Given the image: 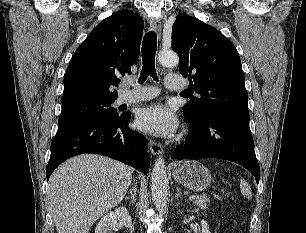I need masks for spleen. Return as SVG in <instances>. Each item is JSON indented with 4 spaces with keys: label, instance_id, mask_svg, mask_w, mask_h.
Here are the masks:
<instances>
[{
    "label": "spleen",
    "instance_id": "obj_1",
    "mask_svg": "<svg viewBox=\"0 0 306 233\" xmlns=\"http://www.w3.org/2000/svg\"><path fill=\"white\" fill-rule=\"evenodd\" d=\"M240 190L243 196H246L248 199L252 198L251 188L244 179H240Z\"/></svg>",
    "mask_w": 306,
    "mask_h": 233
}]
</instances>
